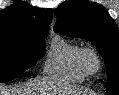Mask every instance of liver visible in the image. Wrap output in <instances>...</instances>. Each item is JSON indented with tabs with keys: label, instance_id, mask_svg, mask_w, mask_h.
I'll list each match as a JSON object with an SVG mask.
<instances>
[{
	"label": "liver",
	"instance_id": "1",
	"mask_svg": "<svg viewBox=\"0 0 119 95\" xmlns=\"http://www.w3.org/2000/svg\"><path fill=\"white\" fill-rule=\"evenodd\" d=\"M50 90L51 93H61L62 95H70L76 93L77 89L63 83H54L45 79H37L28 82L20 87L8 88L0 84V95H42Z\"/></svg>",
	"mask_w": 119,
	"mask_h": 95
}]
</instances>
